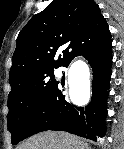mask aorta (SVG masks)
Instances as JSON below:
<instances>
[{"mask_svg":"<svg viewBox=\"0 0 124 149\" xmlns=\"http://www.w3.org/2000/svg\"><path fill=\"white\" fill-rule=\"evenodd\" d=\"M87 76H88V71L83 64L81 63L73 64L68 74L69 83L71 87L77 84L79 79L82 81V83H84Z\"/></svg>","mask_w":124,"mask_h":149,"instance_id":"obj_1","label":"aorta"}]
</instances>
